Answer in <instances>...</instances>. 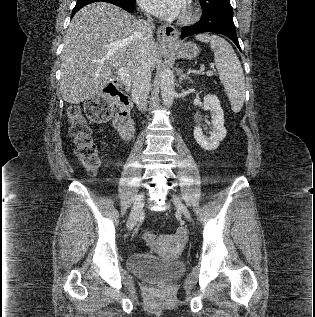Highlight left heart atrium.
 Returning <instances> with one entry per match:
<instances>
[{
    "label": "left heart atrium",
    "instance_id": "obj_1",
    "mask_svg": "<svg viewBox=\"0 0 315 317\" xmlns=\"http://www.w3.org/2000/svg\"><path fill=\"white\" fill-rule=\"evenodd\" d=\"M140 6L146 11L161 17L174 18L185 7V0H138Z\"/></svg>",
    "mask_w": 315,
    "mask_h": 317
}]
</instances>
